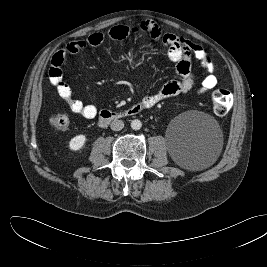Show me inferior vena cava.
I'll return each mask as SVG.
<instances>
[{
    "label": "inferior vena cava",
    "instance_id": "1",
    "mask_svg": "<svg viewBox=\"0 0 267 267\" xmlns=\"http://www.w3.org/2000/svg\"><path fill=\"white\" fill-rule=\"evenodd\" d=\"M110 128L113 130V131H120L124 128V123L122 120H114L111 122L110 124Z\"/></svg>",
    "mask_w": 267,
    "mask_h": 267
}]
</instances>
